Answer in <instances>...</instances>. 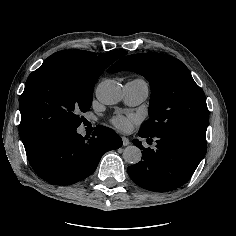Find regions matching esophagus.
I'll return each mask as SVG.
<instances>
[{
    "mask_svg": "<svg viewBox=\"0 0 236 236\" xmlns=\"http://www.w3.org/2000/svg\"><path fill=\"white\" fill-rule=\"evenodd\" d=\"M122 141L124 146H127L130 143L129 139L125 136H122Z\"/></svg>",
    "mask_w": 236,
    "mask_h": 236,
    "instance_id": "1",
    "label": "esophagus"
}]
</instances>
